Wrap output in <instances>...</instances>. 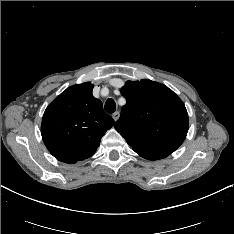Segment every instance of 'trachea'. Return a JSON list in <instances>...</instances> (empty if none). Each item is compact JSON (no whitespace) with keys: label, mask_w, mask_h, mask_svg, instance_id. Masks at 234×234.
Masks as SVG:
<instances>
[{"label":"trachea","mask_w":234,"mask_h":234,"mask_svg":"<svg viewBox=\"0 0 234 234\" xmlns=\"http://www.w3.org/2000/svg\"><path fill=\"white\" fill-rule=\"evenodd\" d=\"M116 110V103L112 98H109L105 103V111L107 113H113Z\"/></svg>","instance_id":"3493384b"}]
</instances>
